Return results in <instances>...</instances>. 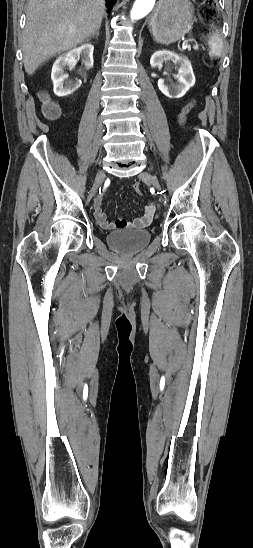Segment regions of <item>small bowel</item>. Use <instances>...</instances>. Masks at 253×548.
<instances>
[{
  "label": "small bowel",
  "instance_id": "small-bowel-1",
  "mask_svg": "<svg viewBox=\"0 0 253 548\" xmlns=\"http://www.w3.org/2000/svg\"><path fill=\"white\" fill-rule=\"evenodd\" d=\"M103 197H99L94 202V215L98 223L105 229L114 228H143L148 226L154 217L156 204L154 202L145 206L143 215L135 218L133 221L117 219L114 222L108 220L106 213L102 208Z\"/></svg>",
  "mask_w": 253,
  "mask_h": 548
}]
</instances>
